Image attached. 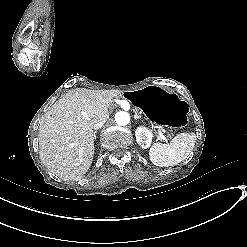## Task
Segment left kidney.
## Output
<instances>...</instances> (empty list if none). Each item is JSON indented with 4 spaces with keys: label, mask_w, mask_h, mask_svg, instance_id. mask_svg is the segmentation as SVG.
Masks as SVG:
<instances>
[{
    "label": "left kidney",
    "mask_w": 247,
    "mask_h": 247,
    "mask_svg": "<svg viewBox=\"0 0 247 247\" xmlns=\"http://www.w3.org/2000/svg\"><path fill=\"white\" fill-rule=\"evenodd\" d=\"M137 143L144 149L150 147L153 133L146 127L139 126L135 131Z\"/></svg>",
    "instance_id": "1"
}]
</instances>
